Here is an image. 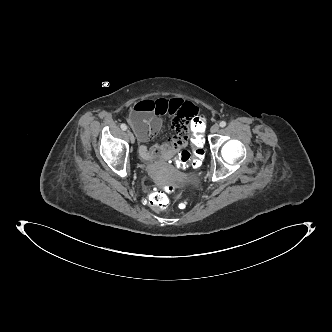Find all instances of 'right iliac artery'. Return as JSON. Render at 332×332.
Wrapping results in <instances>:
<instances>
[{"mask_svg": "<svg viewBox=\"0 0 332 332\" xmlns=\"http://www.w3.org/2000/svg\"><path fill=\"white\" fill-rule=\"evenodd\" d=\"M120 127H121V129L124 130V131L127 130V126H126V124H121Z\"/></svg>", "mask_w": 332, "mask_h": 332, "instance_id": "1", "label": "right iliac artery"}]
</instances>
